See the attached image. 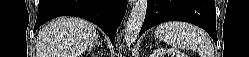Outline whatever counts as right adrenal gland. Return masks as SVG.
Instances as JSON below:
<instances>
[{"label":"right adrenal gland","instance_id":"right-adrenal-gland-1","mask_svg":"<svg viewBox=\"0 0 249 57\" xmlns=\"http://www.w3.org/2000/svg\"><path fill=\"white\" fill-rule=\"evenodd\" d=\"M95 45H97L98 47L100 46V42L98 41V36L95 39Z\"/></svg>","mask_w":249,"mask_h":57}]
</instances>
